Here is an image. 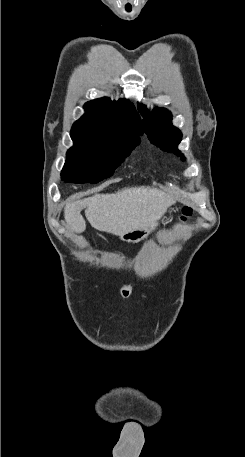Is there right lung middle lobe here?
<instances>
[{
    "label": "right lung middle lobe",
    "mask_w": 245,
    "mask_h": 457,
    "mask_svg": "<svg viewBox=\"0 0 245 457\" xmlns=\"http://www.w3.org/2000/svg\"><path fill=\"white\" fill-rule=\"evenodd\" d=\"M142 133L133 127L74 123L70 132L74 146L67 151L61 179L97 183L111 176Z\"/></svg>",
    "instance_id": "1"
}]
</instances>
